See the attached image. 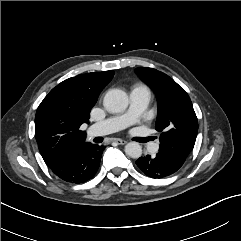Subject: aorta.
Masks as SVG:
<instances>
[{
  "mask_svg": "<svg viewBox=\"0 0 241 241\" xmlns=\"http://www.w3.org/2000/svg\"><path fill=\"white\" fill-rule=\"evenodd\" d=\"M128 96L120 89H110L104 96V107L108 112L119 113L128 107ZM125 153L131 158L137 159L142 155V147L137 142H129L125 146Z\"/></svg>",
  "mask_w": 241,
  "mask_h": 241,
  "instance_id": "762f6f07",
  "label": "aorta"
}]
</instances>
